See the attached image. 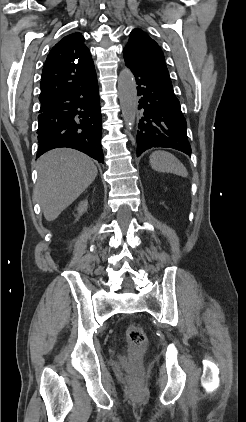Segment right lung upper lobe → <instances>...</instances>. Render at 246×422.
Instances as JSON below:
<instances>
[{
  "label": "right lung upper lobe",
  "mask_w": 246,
  "mask_h": 422,
  "mask_svg": "<svg viewBox=\"0 0 246 422\" xmlns=\"http://www.w3.org/2000/svg\"><path fill=\"white\" fill-rule=\"evenodd\" d=\"M95 77L94 63L84 37L79 32L69 34L51 49L46 58L39 101L43 104Z\"/></svg>",
  "instance_id": "cb5924a9"
}]
</instances>
